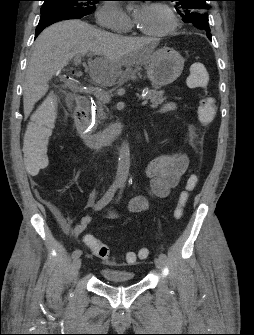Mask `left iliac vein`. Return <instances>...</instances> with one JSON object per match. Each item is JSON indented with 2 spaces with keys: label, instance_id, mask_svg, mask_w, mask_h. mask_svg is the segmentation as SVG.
<instances>
[{
  "label": "left iliac vein",
  "instance_id": "4c4485c4",
  "mask_svg": "<svg viewBox=\"0 0 254 335\" xmlns=\"http://www.w3.org/2000/svg\"><path fill=\"white\" fill-rule=\"evenodd\" d=\"M154 262H155V265L160 269H162L165 266V260L159 257L155 258Z\"/></svg>",
  "mask_w": 254,
  "mask_h": 335
}]
</instances>
